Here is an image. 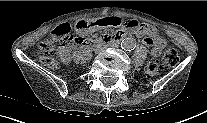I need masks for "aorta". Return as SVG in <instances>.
I'll use <instances>...</instances> for the list:
<instances>
[{
	"label": "aorta",
	"instance_id": "obj_1",
	"mask_svg": "<svg viewBox=\"0 0 207 123\" xmlns=\"http://www.w3.org/2000/svg\"><path fill=\"white\" fill-rule=\"evenodd\" d=\"M121 47L124 50H133L136 47V41L133 38H125L121 42Z\"/></svg>",
	"mask_w": 207,
	"mask_h": 123
}]
</instances>
